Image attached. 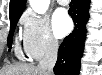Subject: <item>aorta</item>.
<instances>
[{"instance_id": "762f6f07", "label": "aorta", "mask_w": 102, "mask_h": 75, "mask_svg": "<svg viewBox=\"0 0 102 75\" xmlns=\"http://www.w3.org/2000/svg\"><path fill=\"white\" fill-rule=\"evenodd\" d=\"M31 8L38 14H44L49 7L50 0H29Z\"/></svg>"}]
</instances>
